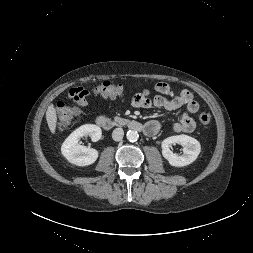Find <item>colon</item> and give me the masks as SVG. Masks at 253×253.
<instances>
[{"label": "colon", "mask_w": 253, "mask_h": 253, "mask_svg": "<svg viewBox=\"0 0 253 253\" xmlns=\"http://www.w3.org/2000/svg\"><path fill=\"white\" fill-rule=\"evenodd\" d=\"M95 94H99L104 98H115L122 95L123 87L121 84H114L109 81H104L96 85L93 89ZM79 110L77 107H70L60 102L57 109V127L65 129L72 124L78 116ZM198 121L201 125L207 126L211 121V115L208 111H203L198 115Z\"/></svg>", "instance_id": "5ec220e1"}]
</instances>
